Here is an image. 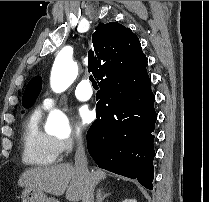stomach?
Returning a JSON list of instances; mask_svg holds the SVG:
<instances>
[{
    "mask_svg": "<svg viewBox=\"0 0 209 202\" xmlns=\"http://www.w3.org/2000/svg\"><path fill=\"white\" fill-rule=\"evenodd\" d=\"M22 202H58L57 199L47 197V195L37 189L25 188L21 194Z\"/></svg>",
    "mask_w": 209,
    "mask_h": 202,
    "instance_id": "stomach-1",
    "label": "stomach"
}]
</instances>
